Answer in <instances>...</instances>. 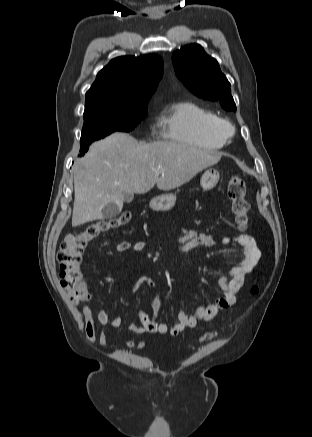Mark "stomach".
<instances>
[{
	"mask_svg": "<svg viewBox=\"0 0 312 437\" xmlns=\"http://www.w3.org/2000/svg\"><path fill=\"white\" fill-rule=\"evenodd\" d=\"M220 174L216 169H207L200 180L201 186L205 191L213 189L218 183ZM176 203V195L172 193L159 195L150 201V207L154 211L171 210Z\"/></svg>",
	"mask_w": 312,
	"mask_h": 437,
	"instance_id": "0dacf381",
	"label": "stomach"
}]
</instances>
